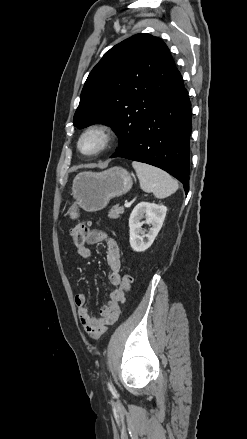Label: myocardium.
Segmentation results:
<instances>
[{
  "instance_id": "1",
  "label": "myocardium",
  "mask_w": 247,
  "mask_h": 439,
  "mask_svg": "<svg viewBox=\"0 0 247 439\" xmlns=\"http://www.w3.org/2000/svg\"><path fill=\"white\" fill-rule=\"evenodd\" d=\"M98 134L101 137L100 146L91 152H86L82 149V141L89 134ZM115 139V133L113 128L105 122H95L88 125L80 134L77 141V148L82 155L96 156L106 149H108Z\"/></svg>"
}]
</instances>
